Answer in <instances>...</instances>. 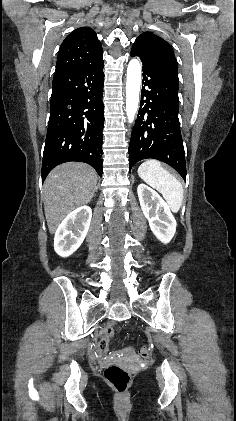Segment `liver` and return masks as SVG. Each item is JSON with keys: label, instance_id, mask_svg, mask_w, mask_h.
Returning <instances> with one entry per match:
<instances>
[{"label": "liver", "instance_id": "6515ba94", "mask_svg": "<svg viewBox=\"0 0 236 421\" xmlns=\"http://www.w3.org/2000/svg\"><path fill=\"white\" fill-rule=\"evenodd\" d=\"M97 174L85 162H64L49 172L43 186L44 211L49 233L96 192Z\"/></svg>", "mask_w": 236, "mask_h": 421}]
</instances>
